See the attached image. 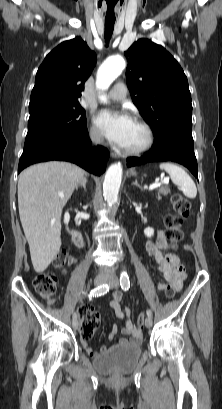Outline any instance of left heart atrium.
<instances>
[{"label":"left heart atrium","mask_w":222,"mask_h":409,"mask_svg":"<svg viewBox=\"0 0 222 409\" xmlns=\"http://www.w3.org/2000/svg\"><path fill=\"white\" fill-rule=\"evenodd\" d=\"M95 123L110 142L124 148L134 122L128 114L103 110L97 115Z\"/></svg>","instance_id":"obj_1"}]
</instances>
